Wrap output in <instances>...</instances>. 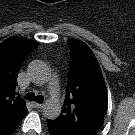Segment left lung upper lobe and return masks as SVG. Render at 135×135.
Listing matches in <instances>:
<instances>
[{
    "label": "left lung upper lobe",
    "instance_id": "5c2ea615",
    "mask_svg": "<svg viewBox=\"0 0 135 135\" xmlns=\"http://www.w3.org/2000/svg\"><path fill=\"white\" fill-rule=\"evenodd\" d=\"M68 43L71 62L66 98L60 116L50 121L67 135H96L108 106L105 82L91 49L82 41Z\"/></svg>",
    "mask_w": 135,
    "mask_h": 135
}]
</instances>
